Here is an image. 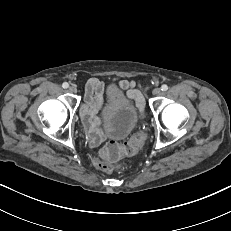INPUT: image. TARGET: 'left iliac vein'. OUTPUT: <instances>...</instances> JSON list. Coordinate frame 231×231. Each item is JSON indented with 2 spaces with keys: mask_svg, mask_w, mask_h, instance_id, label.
<instances>
[{
  "mask_svg": "<svg viewBox=\"0 0 231 231\" xmlns=\"http://www.w3.org/2000/svg\"><path fill=\"white\" fill-rule=\"evenodd\" d=\"M153 94H154V95H160V94H161V89H160V88H155V89L153 90Z\"/></svg>",
  "mask_w": 231,
  "mask_h": 231,
  "instance_id": "1",
  "label": "left iliac vein"
}]
</instances>
